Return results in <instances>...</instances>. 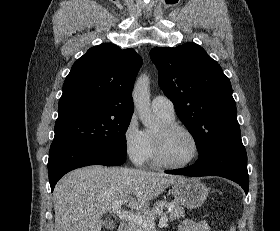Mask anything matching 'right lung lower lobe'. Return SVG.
<instances>
[{"label": "right lung lower lobe", "mask_w": 280, "mask_h": 231, "mask_svg": "<svg viewBox=\"0 0 280 231\" xmlns=\"http://www.w3.org/2000/svg\"><path fill=\"white\" fill-rule=\"evenodd\" d=\"M126 158L108 154L75 142H53L49 151L48 171L51 191L67 172L89 165L119 166Z\"/></svg>", "instance_id": "right-lung-lower-lobe-1"}]
</instances>
